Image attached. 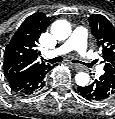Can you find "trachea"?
Returning <instances> with one entry per match:
<instances>
[{
  "label": "trachea",
  "instance_id": "trachea-1",
  "mask_svg": "<svg viewBox=\"0 0 115 119\" xmlns=\"http://www.w3.org/2000/svg\"><path fill=\"white\" fill-rule=\"evenodd\" d=\"M62 57L61 56H58V57H55V58H53V59H49V60H45V61H47V62H49V63H51V64H54V63H57V62H61L62 61ZM72 62H74V63H80V64H83V65H85V66H87V67H90V65H88V64H86V63H84V62H81V61H79V60H72Z\"/></svg>",
  "mask_w": 115,
  "mask_h": 119
}]
</instances>
